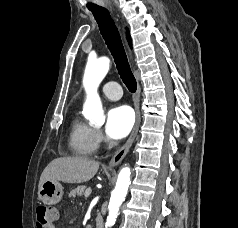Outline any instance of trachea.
<instances>
[{
    "label": "trachea",
    "instance_id": "trachea-1",
    "mask_svg": "<svg viewBox=\"0 0 238 228\" xmlns=\"http://www.w3.org/2000/svg\"><path fill=\"white\" fill-rule=\"evenodd\" d=\"M92 13L98 23L105 43L114 58V62L122 81L128 90L131 93H134L137 89V82L130 69L120 34L113 19L106 9L92 10Z\"/></svg>",
    "mask_w": 238,
    "mask_h": 228
}]
</instances>
